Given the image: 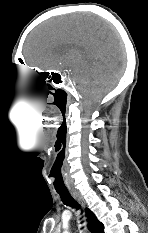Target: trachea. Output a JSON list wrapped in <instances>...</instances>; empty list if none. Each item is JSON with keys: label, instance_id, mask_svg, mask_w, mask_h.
<instances>
[{"label": "trachea", "instance_id": "trachea-1", "mask_svg": "<svg viewBox=\"0 0 148 233\" xmlns=\"http://www.w3.org/2000/svg\"><path fill=\"white\" fill-rule=\"evenodd\" d=\"M57 193L60 195V198L63 202V204L70 206L72 208L80 209V206L78 203L72 198L70 193L68 191H58Z\"/></svg>", "mask_w": 148, "mask_h": 233}]
</instances>
